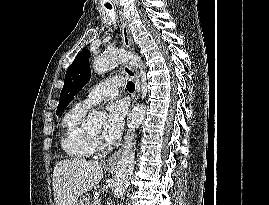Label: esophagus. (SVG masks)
I'll list each match as a JSON object with an SVG mask.
<instances>
[{"label": "esophagus", "instance_id": "esophagus-1", "mask_svg": "<svg viewBox=\"0 0 269 205\" xmlns=\"http://www.w3.org/2000/svg\"><path fill=\"white\" fill-rule=\"evenodd\" d=\"M120 21H121V37L124 48L128 50H134V44L132 36L128 27L127 20L123 13L119 11ZM124 72L133 80L136 86V91L133 95L132 106L137 102L139 98L140 83H139V74L127 63L123 65ZM124 144L118 149V151L106 161V165H115L117 160L122 154Z\"/></svg>", "mask_w": 269, "mask_h": 205}]
</instances>
